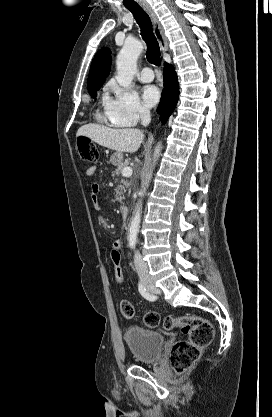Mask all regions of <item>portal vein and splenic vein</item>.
I'll return each mask as SVG.
<instances>
[{
    "mask_svg": "<svg viewBox=\"0 0 272 417\" xmlns=\"http://www.w3.org/2000/svg\"><path fill=\"white\" fill-rule=\"evenodd\" d=\"M132 173H133V170H132V168H131V167H125V168L122 170V175H123V176H131V175H132Z\"/></svg>",
    "mask_w": 272,
    "mask_h": 417,
    "instance_id": "1",
    "label": "portal vein and splenic vein"
}]
</instances>
